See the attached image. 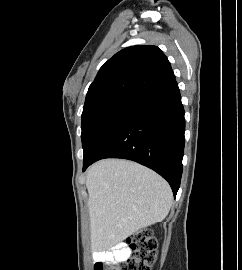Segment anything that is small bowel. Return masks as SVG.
<instances>
[{"label":"small bowel","instance_id":"obj_1","mask_svg":"<svg viewBox=\"0 0 242 270\" xmlns=\"http://www.w3.org/2000/svg\"><path fill=\"white\" fill-rule=\"evenodd\" d=\"M130 250L124 244H117L111 251L98 252L95 254V263H101L104 268H110L119 261L125 260Z\"/></svg>","mask_w":242,"mask_h":270}]
</instances>
